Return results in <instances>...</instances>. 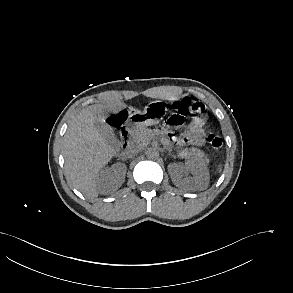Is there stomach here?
I'll return each mask as SVG.
<instances>
[{"instance_id":"obj_1","label":"stomach","mask_w":293,"mask_h":293,"mask_svg":"<svg viewBox=\"0 0 293 293\" xmlns=\"http://www.w3.org/2000/svg\"><path fill=\"white\" fill-rule=\"evenodd\" d=\"M167 110V107L162 101H152L144 108L142 112H133L129 116L128 125L133 129L156 125L160 123L165 117Z\"/></svg>"}]
</instances>
